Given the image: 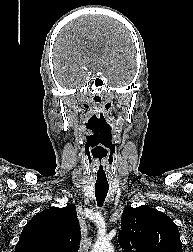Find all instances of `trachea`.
<instances>
[{
	"instance_id": "1",
	"label": "trachea",
	"mask_w": 193,
	"mask_h": 252,
	"mask_svg": "<svg viewBox=\"0 0 193 252\" xmlns=\"http://www.w3.org/2000/svg\"><path fill=\"white\" fill-rule=\"evenodd\" d=\"M109 190V184H95V196L98 206H102Z\"/></svg>"
}]
</instances>
